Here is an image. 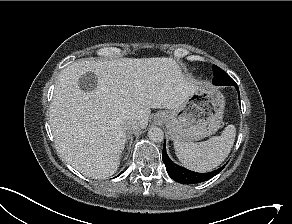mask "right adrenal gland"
Segmentation results:
<instances>
[{"instance_id":"1","label":"right adrenal gland","mask_w":292,"mask_h":224,"mask_svg":"<svg viewBox=\"0 0 292 224\" xmlns=\"http://www.w3.org/2000/svg\"><path fill=\"white\" fill-rule=\"evenodd\" d=\"M129 140V147H128V151H130L131 149V145L133 142V136H132V132L128 133L126 136V142ZM129 154V153H128ZM128 156V155H127Z\"/></svg>"}]
</instances>
